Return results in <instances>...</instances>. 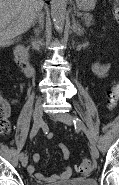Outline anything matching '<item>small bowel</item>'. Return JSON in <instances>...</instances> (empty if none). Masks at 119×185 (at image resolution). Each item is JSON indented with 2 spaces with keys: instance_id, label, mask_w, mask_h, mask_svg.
I'll return each instance as SVG.
<instances>
[{
  "instance_id": "1",
  "label": "small bowel",
  "mask_w": 119,
  "mask_h": 185,
  "mask_svg": "<svg viewBox=\"0 0 119 185\" xmlns=\"http://www.w3.org/2000/svg\"><path fill=\"white\" fill-rule=\"evenodd\" d=\"M110 70V65L109 64H103L100 62H96L93 65V71L98 77H104L107 75V73ZM3 108L5 114L9 117L10 115V106L7 102L3 103ZM48 137L51 139L53 137L52 133H49ZM58 147L61 149L62 154H63V160L66 163V166L64 170L60 174H53V175H44L42 173L36 172L35 166L33 164L29 165L28 167V173L31 175H34V177L44 183H49V182H55L61 179H67L71 175V168L68 165V160L70 156V151L66 145L63 143H59ZM40 161V155L38 153H35L33 155V162L37 164Z\"/></svg>"
}]
</instances>
